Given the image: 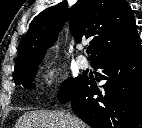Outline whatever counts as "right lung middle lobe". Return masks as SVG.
Listing matches in <instances>:
<instances>
[{"instance_id": "obj_1", "label": "right lung middle lobe", "mask_w": 142, "mask_h": 128, "mask_svg": "<svg viewBox=\"0 0 142 128\" xmlns=\"http://www.w3.org/2000/svg\"><path fill=\"white\" fill-rule=\"evenodd\" d=\"M42 59L34 60L23 64L21 66L15 67L13 77L14 81L17 85L22 84L27 89L34 88V84L32 81L35 78V74L37 72V66L40 64ZM84 77L78 76L75 79L71 78L62 83V88L59 93V100L63 103L66 101H70V98L74 94V92L78 89L80 84L82 83Z\"/></svg>"}]
</instances>
